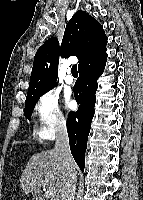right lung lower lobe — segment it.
I'll return each mask as SVG.
<instances>
[{
  "instance_id": "right-lung-lower-lobe-1",
  "label": "right lung lower lobe",
  "mask_w": 143,
  "mask_h": 200,
  "mask_svg": "<svg viewBox=\"0 0 143 200\" xmlns=\"http://www.w3.org/2000/svg\"><path fill=\"white\" fill-rule=\"evenodd\" d=\"M107 60L106 49L94 56L79 68V79L73 88L74 96L79 104L76 112H70L67 119V131L71 153L84 170V156L87 147L91 121L94 116L95 93L97 79L103 73Z\"/></svg>"
}]
</instances>
